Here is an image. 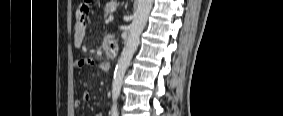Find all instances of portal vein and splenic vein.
I'll return each instance as SVG.
<instances>
[{"instance_id": "portal-vein-and-splenic-vein-1", "label": "portal vein and splenic vein", "mask_w": 283, "mask_h": 116, "mask_svg": "<svg viewBox=\"0 0 283 116\" xmlns=\"http://www.w3.org/2000/svg\"><path fill=\"white\" fill-rule=\"evenodd\" d=\"M113 20H114V17L110 15L106 21H107V22H111V21H113Z\"/></svg>"}]
</instances>
